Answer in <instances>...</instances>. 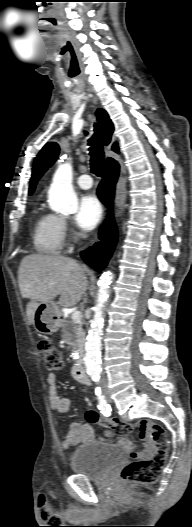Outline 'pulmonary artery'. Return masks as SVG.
<instances>
[{
	"label": "pulmonary artery",
	"mask_w": 192,
	"mask_h": 527,
	"mask_svg": "<svg viewBox=\"0 0 192 527\" xmlns=\"http://www.w3.org/2000/svg\"><path fill=\"white\" fill-rule=\"evenodd\" d=\"M77 183L82 189H90L93 186V180L88 174L80 175L77 179Z\"/></svg>",
	"instance_id": "obj_1"
}]
</instances>
